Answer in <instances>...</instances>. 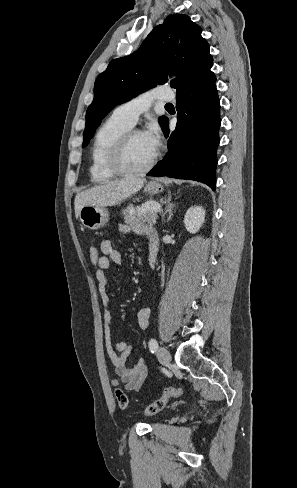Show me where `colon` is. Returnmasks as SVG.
Returning <instances> with one entry per match:
<instances>
[{
    "instance_id": "1",
    "label": "colon",
    "mask_w": 297,
    "mask_h": 488,
    "mask_svg": "<svg viewBox=\"0 0 297 488\" xmlns=\"http://www.w3.org/2000/svg\"><path fill=\"white\" fill-rule=\"evenodd\" d=\"M100 257H101V252L99 251V249L95 246L90 247V260L92 264L97 265L100 260ZM181 394H182L181 388H176V387L165 388L162 396L145 409V415L151 416L162 411L171 398L179 397L181 396ZM115 397L119 407L122 410H125L129 407V398L125 393V391H123L122 389H117L115 391Z\"/></svg>"
}]
</instances>
